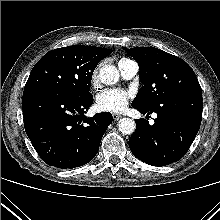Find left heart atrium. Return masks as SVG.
Segmentation results:
<instances>
[{
	"label": "left heart atrium",
	"mask_w": 220,
	"mask_h": 220,
	"mask_svg": "<svg viewBox=\"0 0 220 220\" xmlns=\"http://www.w3.org/2000/svg\"><path fill=\"white\" fill-rule=\"evenodd\" d=\"M132 94L123 89H106L96 98L97 108L101 111L121 112L128 105Z\"/></svg>",
	"instance_id": "obj_1"
}]
</instances>
